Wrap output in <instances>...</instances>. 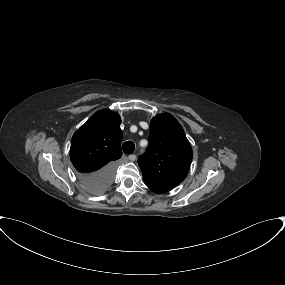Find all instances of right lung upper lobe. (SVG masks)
Listing matches in <instances>:
<instances>
[{
	"label": "right lung upper lobe",
	"instance_id": "obj_1",
	"mask_svg": "<svg viewBox=\"0 0 285 285\" xmlns=\"http://www.w3.org/2000/svg\"><path fill=\"white\" fill-rule=\"evenodd\" d=\"M121 118L110 110H101L72 137L70 159L81 174L96 172L122 156Z\"/></svg>",
	"mask_w": 285,
	"mask_h": 285
}]
</instances>
